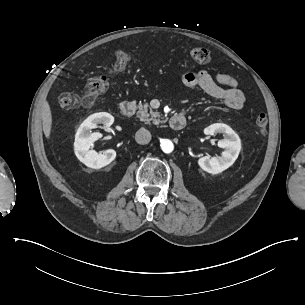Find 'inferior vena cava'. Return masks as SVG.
I'll return each instance as SVG.
<instances>
[{"instance_id": "1", "label": "inferior vena cava", "mask_w": 305, "mask_h": 305, "mask_svg": "<svg viewBox=\"0 0 305 305\" xmlns=\"http://www.w3.org/2000/svg\"><path fill=\"white\" fill-rule=\"evenodd\" d=\"M135 140L138 144H148L151 140V133L147 129L141 128L135 133Z\"/></svg>"}]
</instances>
